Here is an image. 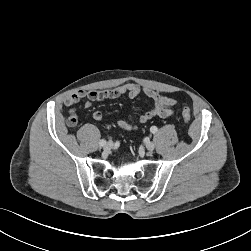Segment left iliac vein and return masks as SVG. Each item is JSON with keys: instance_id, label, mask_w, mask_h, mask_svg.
<instances>
[{"instance_id": "1", "label": "left iliac vein", "mask_w": 251, "mask_h": 251, "mask_svg": "<svg viewBox=\"0 0 251 251\" xmlns=\"http://www.w3.org/2000/svg\"><path fill=\"white\" fill-rule=\"evenodd\" d=\"M145 147H146V149H147L148 151H153L154 148H155V144H154L153 142L150 141V142H147V143H146Z\"/></svg>"}]
</instances>
